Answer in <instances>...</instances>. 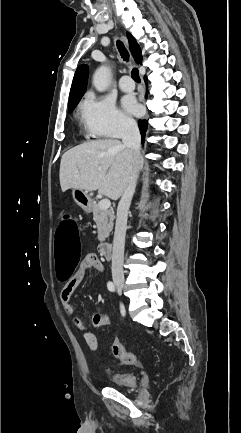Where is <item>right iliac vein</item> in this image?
<instances>
[{
  "label": "right iliac vein",
  "instance_id": "obj_1",
  "mask_svg": "<svg viewBox=\"0 0 241 433\" xmlns=\"http://www.w3.org/2000/svg\"><path fill=\"white\" fill-rule=\"evenodd\" d=\"M116 285L118 287L119 290H123L124 289V283L122 281H117Z\"/></svg>",
  "mask_w": 241,
  "mask_h": 433
}]
</instances>
